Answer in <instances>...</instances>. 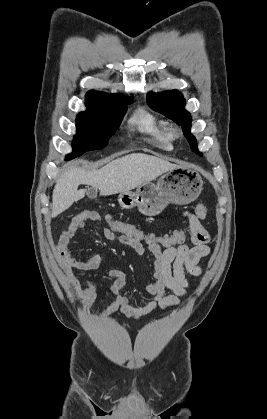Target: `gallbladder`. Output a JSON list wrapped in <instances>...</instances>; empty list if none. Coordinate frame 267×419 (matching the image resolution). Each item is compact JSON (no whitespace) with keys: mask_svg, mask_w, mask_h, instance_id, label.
I'll use <instances>...</instances> for the list:
<instances>
[{"mask_svg":"<svg viewBox=\"0 0 267 419\" xmlns=\"http://www.w3.org/2000/svg\"><path fill=\"white\" fill-rule=\"evenodd\" d=\"M87 195H88V197L89 198H91V199H94V198H96V196H97V189L96 188H89L88 190H87Z\"/></svg>","mask_w":267,"mask_h":419,"instance_id":"gallbladder-1","label":"gallbladder"}]
</instances>
